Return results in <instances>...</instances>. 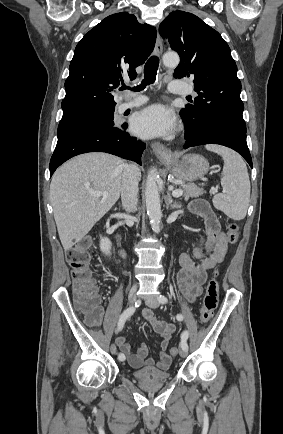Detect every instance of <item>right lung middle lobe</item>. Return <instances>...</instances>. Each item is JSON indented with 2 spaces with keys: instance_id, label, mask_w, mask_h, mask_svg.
<instances>
[{
  "instance_id": "1",
  "label": "right lung middle lobe",
  "mask_w": 283,
  "mask_h": 434,
  "mask_svg": "<svg viewBox=\"0 0 283 434\" xmlns=\"http://www.w3.org/2000/svg\"><path fill=\"white\" fill-rule=\"evenodd\" d=\"M114 110L104 111L96 114L79 116V117H71V118H63L61 119L57 136L58 139L72 133L74 131L84 129L87 127L93 126H120V124H115L114 119ZM124 125V124H121Z\"/></svg>"
}]
</instances>
